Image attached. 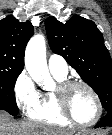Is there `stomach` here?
Masks as SVG:
<instances>
[{
  "instance_id": "obj_1",
  "label": "stomach",
  "mask_w": 112,
  "mask_h": 135,
  "mask_svg": "<svg viewBox=\"0 0 112 135\" xmlns=\"http://www.w3.org/2000/svg\"><path fill=\"white\" fill-rule=\"evenodd\" d=\"M76 135H101V134L93 131H84V132H78Z\"/></svg>"
}]
</instances>
